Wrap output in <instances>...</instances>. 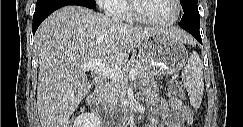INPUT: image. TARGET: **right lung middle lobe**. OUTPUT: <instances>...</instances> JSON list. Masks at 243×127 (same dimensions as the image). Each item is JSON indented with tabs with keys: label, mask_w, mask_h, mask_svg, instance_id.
Returning a JSON list of instances; mask_svg holds the SVG:
<instances>
[{
	"label": "right lung middle lobe",
	"mask_w": 243,
	"mask_h": 127,
	"mask_svg": "<svg viewBox=\"0 0 243 127\" xmlns=\"http://www.w3.org/2000/svg\"><path fill=\"white\" fill-rule=\"evenodd\" d=\"M86 1L89 2L93 8H95L96 2L94 0H86Z\"/></svg>",
	"instance_id": "1"
}]
</instances>
